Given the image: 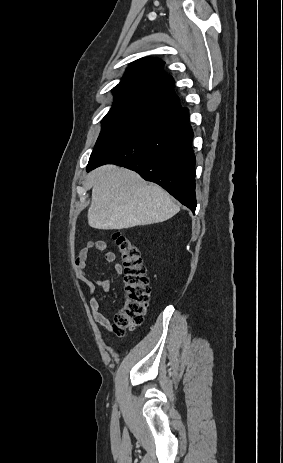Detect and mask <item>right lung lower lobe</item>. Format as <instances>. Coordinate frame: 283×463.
<instances>
[{"label": "right lung lower lobe", "instance_id": "98d812e1", "mask_svg": "<svg viewBox=\"0 0 283 463\" xmlns=\"http://www.w3.org/2000/svg\"><path fill=\"white\" fill-rule=\"evenodd\" d=\"M192 138L188 109L180 106L92 155L87 171L107 163L129 168L166 189L194 213L196 161L191 148Z\"/></svg>", "mask_w": 283, "mask_h": 463}]
</instances>
